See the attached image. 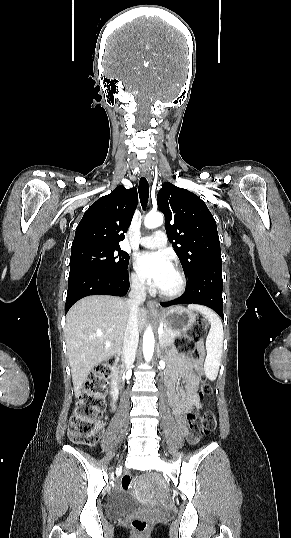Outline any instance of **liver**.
<instances>
[{
	"label": "liver",
	"mask_w": 291,
	"mask_h": 538,
	"mask_svg": "<svg viewBox=\"0 0 291 538\" xmlns=\"http://www.w3.org/2000/svg\"><path fill=\"white\" fill-rule=\"evenodd\" d=\"M128 317V300L107 295L82 298L68 311L65 340L76 397L89 372L121 351ZM146 318V309L139 308V330Z\"/></svg>",
	"instance_id": "6515ba94"
}]
</instances>
